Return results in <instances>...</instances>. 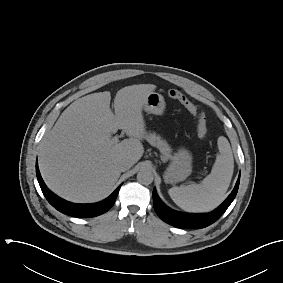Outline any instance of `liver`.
<instances>
[{"label": "liver", "mask_w": 283, "mask_h": 283, "mask_svg": "<svg viewBox=\"0 0 283 283\" xmlns=\"http://www.w3.org/2000/svg\"><path fill=\"white\" fill-rule=\"evenodd\" d=\"M153 84L126 86L117 91L115 114L109 91L92 93L69 105L39 148V168L47 186L60 197L91 203L105 198L120 177L118 162L134 165L144 153L146 125L143 105ZM118 129L129 136L114 142Z\"/></svg>", "instance_id": "1"}]
</instances>
